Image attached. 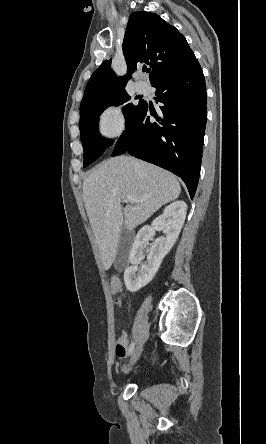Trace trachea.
<instances>
[{
  "label": "trachea",
  "mask_w": 266,
  "mask_h": 444,
  "mask_svg": "<svg viewBox=\"0 0 266 444\" xmlns=\"http://www.w3.org/2000/svg\"><path fill=\"white\" fill-rule=\"evenodd\" d=\"M143 72H148V69L146 67H144Z\"/></svg>",
  "instance_id": "3493384b"
}]
</instances>
